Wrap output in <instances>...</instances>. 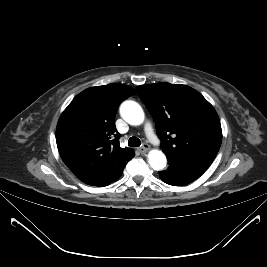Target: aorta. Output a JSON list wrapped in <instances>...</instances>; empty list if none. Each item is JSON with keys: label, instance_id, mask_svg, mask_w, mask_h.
I'll return each mask as SVG.
<instances>
[{"label": "aorta", "instance_id": "762f6f07", "mask_svg": "<svg viewBox=\"0 0 267 267\" xmlns=\"http://www.w3.org/2000/svg\"><path fill=\"white\" fill-rule=\"evenodd\" d=\"M121 117L130 125H140L144 122V111L135 101H124L120 106ZM148 162L154 170H162L167 163L164 153L153 149L148 153Z\"/></svg>", "mask_w": 267, "mask_h": 267}]
</instances>
